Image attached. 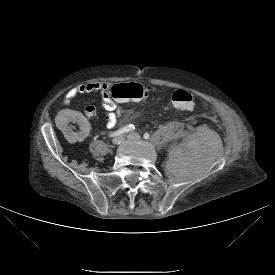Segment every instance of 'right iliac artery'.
<instances>
[{"mask_svg": "<svg viewBox=\"0 0 275 275\" xmlns=\"http://www.w3.org/2000/svg\"><path fill=\"white\" fill-rule=\"evenodd\" d=\"M135 129L134 125L130 124L128 126H125L115 132H112L109 134V137H115V136H119V135H123L125 133H128L130 131H133Z\"/></svg>", "mask_w": 275, "mask_h": 275, "instance_id": "right-iliac-artery-1", "label": "right iliac artery"}]
</instances>
